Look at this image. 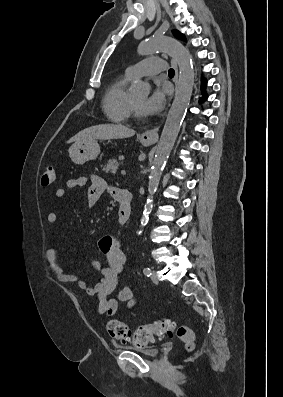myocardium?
Segmentation results:
<instances>
[{
  "label": "myocardium",
  "instance_id": "1",
  "mask_svg": "<svg viewBox=\"0 0 283 397\" xmlns=\"http://www.w3.org/2000/svg\"><path fill=\"white\" fill-rule=\"evenodd\" d=\"M130 113L133 116V118L139 120L141 118L140 112L137 109V107L135 106L133 100H130Z\"/></svg>",
  "mask_w": 283,
  "mask_h": 397
}]
</instances>
